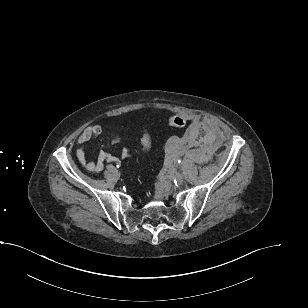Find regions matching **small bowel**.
I'll use <instances>...</instances> for the list:
<instances>
[{"label": "small bowel", "instance_id": "obj_1", "mask_svg": "<svg viewBox=\"0 0 308 308\" xmlns=\"http://www.w3.org/2000/svg\"><path fill=\"white\" fill-rule=\"evenodd\" d=\"M102 133V127L99 124H93L84 129V131L79 135L77 143L79 145L76 155L81 166L87 171L93 173H99L103 170L105 163L109 162H118V158L106 153L101 152L98 155L97 160L93 161L88 159L85 151L86 145L95 137L99 136ZM113 141L118 142L119 138L114 135ZM128 154L126 151L122 153L123 157H126Z\"/></svg>", "mask_w": 308, "mask_h": 308}]
</instances>
